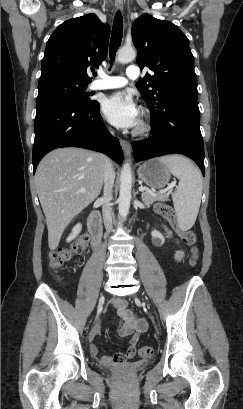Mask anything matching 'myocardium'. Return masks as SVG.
<instances>
[{"mask_svg":"<svg viewBox=\"0 0 243 409\" xmlns=\"http://www.w3.org/2000/svg\"><path fill=\"white\" fill-rule=\"evenodd\" d=\"M152 129V124L149 119L148 113L146 110H143L142 115L134 129V134L136 136H147Z\"/></svg>","mask_w":243,"mask_h":409,"instance_id":"f54148a6","label":"myocardium"}]
</instances>
